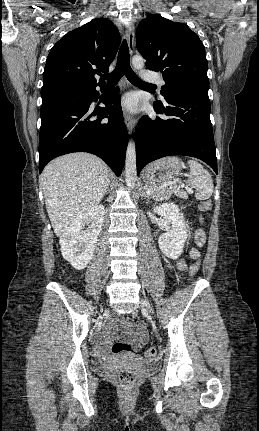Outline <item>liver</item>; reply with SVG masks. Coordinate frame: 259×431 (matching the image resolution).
I'll return each instance as SVG.
<instances>
[{"instance_id":"obj_1","label":"liver","mask_w":259,"mask_h":431,"mask_svg":"<svg viewBox=\"0 0 259 431\" xmlns=\"http://www.w3.org/2000/svg\"><path fill=\"white\" fill-rule=\"evenodd\" d=\"M108 181V166L89 153L63 155L44 168L41 183L56 236L101 201Z\"/></svg>"}]
</instances>
